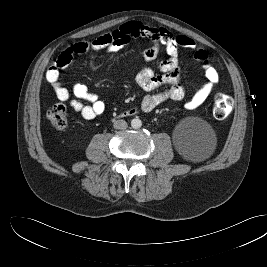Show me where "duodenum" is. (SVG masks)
Returning a JSON list of instances; mask_svg holds the SVG:
<instances>
[{
	"mask_svg": "<svg viewBox=\"0 0 267 267\" xmlns=\"http://www.w3.org/2000/svg\"><path fill=\"white\" fill-rule=\"evenodd\" d=\"M137 112H138L137 108H131V109H128L127 111H125V114L126 115H133V114H136Z\"/></svg>",
	"mask_w": 267,
	"mask_h": 267,
	"instance_id": "duodenum-1",
	"label": "duodenum"
}]
</instances>
